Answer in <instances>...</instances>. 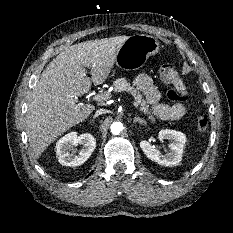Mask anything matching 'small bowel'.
Here are the masks:
<instances>
[{
    "instance_id": "1",
    "label": "small bowel",
    "mask_w": 233,
    "mask_h": 233,
    "mask_svg": "<svg viewBox=\"0 0 233 233\" xmlns=\"http://www.w3.org/2000/svg\"><path fill=\"white\" fill-rule=\"evenodd\" d=\"M134 85L143 93L147 104L151 107L152 113L158 118L176 121L186 115L187 110L182 103L178 102L170 105L161 101L160 92L147 74H139L134 80ZM175 85L186 92V86L181 78L177 79Z\"/></svg>"
}]
</instances>
